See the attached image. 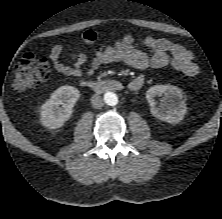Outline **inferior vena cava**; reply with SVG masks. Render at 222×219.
I'll list each match as a JSON object with an SVG mask.
<instances>
[{
	"instance_id": "inferior-vena-cava-1",
	"label": "inferior vena cava",
	"mask_w": 222,
	"mask_h": 219,
	"mask_svg": "<svg viewBox=\"0 0 222 219\" xmlns=\"http://www.w3.org/2000/svg\"><path fill=\"white\" fill-rule=\"evenodd\" d=\"M91 104L95 109H100L103 107L104 102L101 96L95 94L91 97Z\"/></svg>"
}]
</instances>
